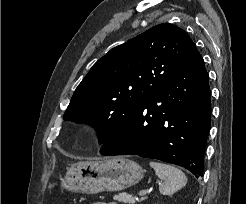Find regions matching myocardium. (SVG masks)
I'll return each instance as SVG.
<instances>
[{
  "instance_id": "obj_1",
  "label": "myocardium",
  "mask_w": 246,
  "mask_h": 204,
  "mask_svg": "<svg viewBox=\"0 0 246 204\" xmlns=\"http://www.w3.org/2000/svg\"><path fill=\"white\" fill-rule=\"evenodd\" d=\"M97 134V130L94 127H86L84 128V130L82 131V136L84 139L90 140L92 138H94Z\"/></svg>"
}]
</instances>
